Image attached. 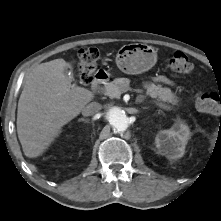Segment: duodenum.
Returning a JSON list of instances; mask_svg holds the SVG:
<instances>
[{
	"instance_id": "1",
	"label": "duodenum",
	"mask_w": 221,
	"mask_h": 221,
	"mask_svg": "<svg viewBox=\"0 0 221 221\" xmlns=\"http://www.w3.org/2000/svg\"><path fill=\"white\" fill-rule=\"evenodd\" d=\"M107 73L103 70H99L95 73L94 81L92 83V88L98 90L103 82L107 80Z\"/></svg>"
}]
</instances>
